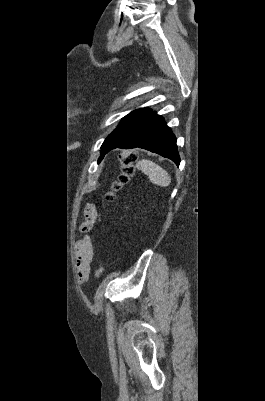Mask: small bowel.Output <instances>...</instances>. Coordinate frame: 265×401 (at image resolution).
<instances>
[{
    "instance_id": "small-bowel-1",
    "label": "small bowel",
    "mask_w": 265,
    "mask_h": 401,
    "mask_svg": "<svg viewBox=\"0 0 265 401\" xmlns=\"http://www.w3.org/2000/svg\"><path fill=\"white\" fill-rule=\"evenodd\" d=\"M96 219L97 208L94 204L88 203L84 208V221L80 224V231L84 234L90 231ZM93 255L92 241L88 235H84L77 243V266L81 281L86 280L90 274Z\"/></svg>"
}]
</instances>
